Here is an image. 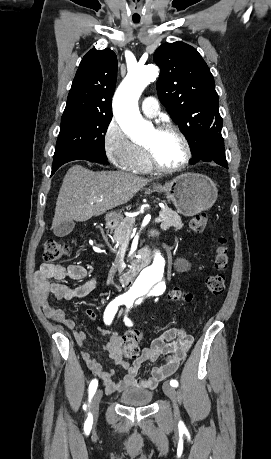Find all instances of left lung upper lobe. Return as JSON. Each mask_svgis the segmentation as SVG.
Here are the masks:
<instances>
[{"label": "left lung upper lobe", "mask_w": 271, "mask_h": 459, "mask_svg": "<svg viewBox=\"0 0 271 459\" xmlns=\"http://www.w3.org/2000/svg\"><path fill=\"white\" fill-rule=\"evenodd\" d=\"M161 73L157 92L185 135L192 161L208 149L209 137L222 130L213 76L198 51L184 42L165 43L154 53Z\"/></svg>", "instance_id": "obj_1"}]
</instances>
